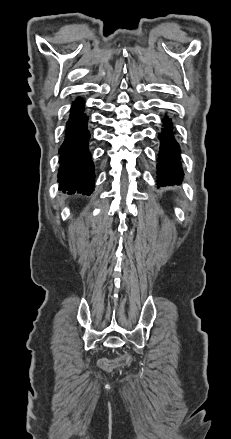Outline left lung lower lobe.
Returning a JSON list of instances; mask_svg holds the SVG:
<instances>
[{
  "label": "left lung lower lobe",
  "instance_id": "obj_1",
  "mask_svg": "<svg viewBox=\"0 0 231 439\" xmlns=\"http://www.w3.org/2000/svg\"><path fill=\"white\" fill-rule=\"evenodd\" d=\"M163 131L158 136L160 139V153L158 158V180L159 185H170L180 183L184 176L180 163L179 144L174 139L172 124L165 116L162 120Z\"/></svg>",
  "mask_w": 231,
  "mask_h": 439
}]
</instances>
